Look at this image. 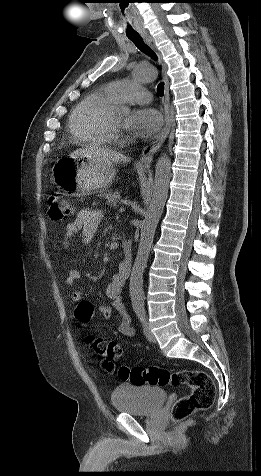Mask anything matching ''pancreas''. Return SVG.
<instances>
[{
  "instance_id": "cf45deb5",
  "label": "pancreas",
  "mask_w": 261,
  "mask_h": 476,
  "mask_svg": "<svg viewBox=\"0 0 261 476\" xmlns=\"http://www.w3.org/2000/svg\"><path fill=\"white\" fill-rule=\"evenodd\" d=\"M103 197L106 199V203L113 207L117 206V204L121 200L120 192L118 191L114 193H111V192L104 193Z\"/></svg>"
}]
</instances>
